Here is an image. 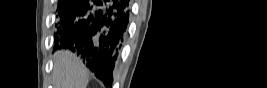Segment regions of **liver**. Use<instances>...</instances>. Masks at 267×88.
<instances>
[{
	"mask_svg": "<svg viewBox=\"0 0 267 88\" xmlns=\"http://www.w3.org/2000/svg\"><path fill=\"white\" fill-rule=\"evenodd\" d=\"M54 88H86L88 70L82 61L69 50H59L53 55Z\"/></svg>",
	"mask_w": 267,
	"mask_h": 88,
	"instance_id": "1",
	"label": "liver"
}]
</instances>
